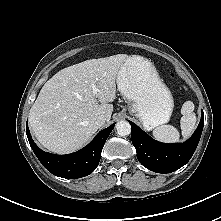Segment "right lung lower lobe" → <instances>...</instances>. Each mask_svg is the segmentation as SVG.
<instances>
[{
  "label": "right lung lower lobe",
  "instance_id": "98d812e1",
  "mask_svg": "<svg viewBox=\"0 0 221 221\" xmlns=\"http://www.w3.org/2000/svg\"><path fill=\"white\" fill-rule=\"evenodd\" d=\"M114 125L115 123L100 131L83 149L67 155H55L42 151L31 138L28 126H26V133L30 146L42 165L55 176L72 179L87 176L96 169L102 148Z\"/></svg>",
  "mask_w": 221,
  "mask_h": 221
}]
</instances>
